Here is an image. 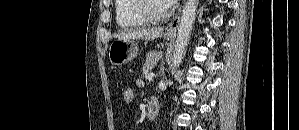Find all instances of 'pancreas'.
<instances>
[{"label":"pancreas","instance_id":"obj_1","mask_svg":"<svg viewBox=\"0 0 299 130\" xmlns=\"http://www.w3.org/2000/svg\"><path fill=\"white\" fill-rule=\"evenodd\" d=\"M160 57H161V53L159 52L147 53L146 60L142 68V71L145 75L148 74L149 70L154 68V66L157 64V61Z\"/></svg>","mask_w":299,"mask_h":130}]
</instances>
